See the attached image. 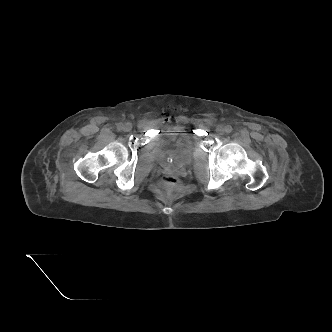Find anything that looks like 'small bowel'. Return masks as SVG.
Segmentation results:
<instances>
[{
	"instance_id": "obj_1",
	"label": "small bowel",
	"mask_w": 332,
	"mask_h": 332,
	"mask_svg": "<svg viewBox=\"0 0 332 332\" xmlns=\"http://www.w3.org/2000/svg\"><path fill=\"white\" fill-rule=\"evenodd\" d=\"M181 130H182L181 127L178 125H176V126L165 125L163 127V131L168 134H176V133H179Z\"/></svg>"
}]
</instances>
